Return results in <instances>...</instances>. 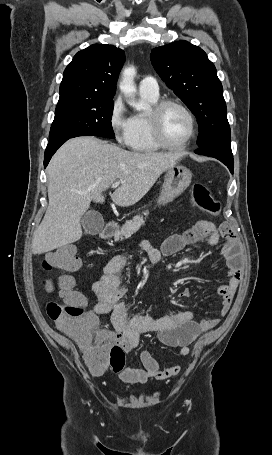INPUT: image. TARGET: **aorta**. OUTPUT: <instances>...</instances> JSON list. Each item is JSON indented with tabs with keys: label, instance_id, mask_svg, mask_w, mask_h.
Segmentation results:
<instances>
[{
	"label": "aorta",
	"instance_id": "1",
	"mask_svg": "<svg viewBox=\"0 0 272 455\" xmlns=\"http://www.w3.org/2000/svg\"><path fill=\"white\" fill-rule=\"evenodd\" d=\"M136 75V69L133 66L127 67L123 70L122 80L120 82V90L124 93L125 96L130 98V105L137 110L144 109V106L138 103H135L133 98L136 93V87L134 84V77Z\"/></svg>",
	"mask_w": 272,
	"mask_h": 455
}]
</instances>
